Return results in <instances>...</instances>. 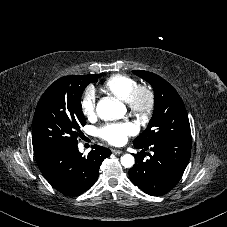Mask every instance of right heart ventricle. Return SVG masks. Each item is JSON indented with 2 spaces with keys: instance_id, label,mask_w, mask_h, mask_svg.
<instances>
[{
  "instance_id": "obj_1",
  "label": "right heart ventricle",
  "mask_w": 227,
  "mask_h": 227,
  "mask_svg": "<svg viewBox=\"0 0 227 227\" xmlns=\"http://www.w3.org/2000/svg\"><path fill=\"white\" fill-rule=\"evenodd\" d=\"M137 85L134 78L125 74H116L103 82L100 91L112 95L121 101H125L132 89Z\"/></svg>"
}]
</instances>
